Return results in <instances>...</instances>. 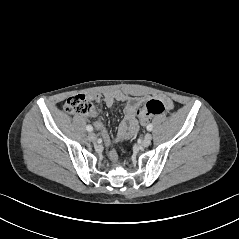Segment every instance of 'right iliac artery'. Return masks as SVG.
Wrapping results in <instances>:
<instances>
[{
    "label": "right iliac artery",
    "mask_w": 239,
    "mask_h": 239,
    "mask_svg": "<svg viewBox=\"0 0 239 239\" xmlns=\"http://www.w3.org/2000/svg\"><path fill=\"white\" fill-rule=\"evenodd\" d=\"M86 129H87V131H89V132L93 131V127H92L91 125H87V126H86Z\"/></svg>",
    "instance_id": "1"
}]
</instances>
